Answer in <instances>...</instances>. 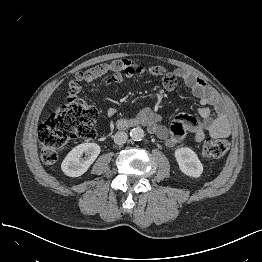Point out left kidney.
<instances>
[{
    "label": "left kidney",
    "instance_id": "left-kidney-1",
    "mask_svg": "<svg viewBox=\"0 0 262 262\" xmlns=\"http://www.w3.org/2000/svg\"><path fill=\"white\" fill-rule=\"evenodd\" d=\"M174 155L180 170L184 174L194 178L201 176L203 172V165L197 154L192 149L188 147L178 148L175 150Z\"/></svg>",
    "mask_w": 262,
    "mask_h": 262
}]
</instances>
